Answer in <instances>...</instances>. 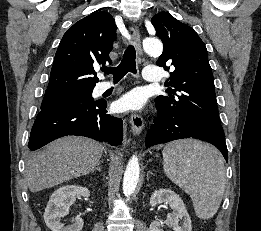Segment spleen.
Wrapping results in <instances>:
<instances>
[{"label": "spleen", "instance_id": "1", "mask_svg": "<svg viewBox=\"0 0 261 231\" xmlns=\"http://www.w3.org/2000/svg\"><path fill=\"white\" fill-rule=\"evenodd\" d=\"M167 177L190 195L196 215L213 217L225 190V168L221 153L195 139L170 142L163 150Z\"/></svg>", "mask_w": 261, "mask_h": 231}]
</instances>
